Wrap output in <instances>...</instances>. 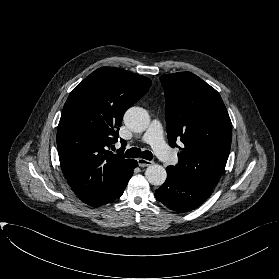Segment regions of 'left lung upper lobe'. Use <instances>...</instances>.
Returning <instances> with one entry per match:
<instances>
[{"mask_svg":"<svg viewBox=\"0 0 279 279\" xmlns=\"http://www.w3.org/2000/svg\"><path fill=\"white\" fill-rule=\"evenodd\" d=\"M168 140L178 147L170 166L182 178L210 190L218 183L229 156L232 124L219 93L190 72L162 75ZM180 140V147L176 141Z\"/></svg>","mask_w":279,"mask_h":279,"instance_id":"left-lung-upper-lobe-1","label":"left lung upper lobe"}]
</instances>
